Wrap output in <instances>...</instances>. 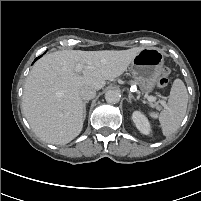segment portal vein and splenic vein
Listing matches in <instances>:
<instances>
[{
  "mask_svg": "<svg viewBox=\"0 0 201 201\" xmlns=\"http://www.w3.org/2000/svg\"><path fill=\"white\" fill-rule=\"evenodd\" d=\"M83 66L81 64H77V66L75 67V71L76 72H80L82 70ZM147 100L149 102H155L156 101V98L153 97V96H148L147 97ZM158 102H160L162 105L166 106V102L163 101V100H159Z\"/></svg>",
  "mask_w": 201,
  "mask_h": 201,
  "instance_id": "18ae733b",
  "label": "portal vein and splenic vein"
}]
</instances>
